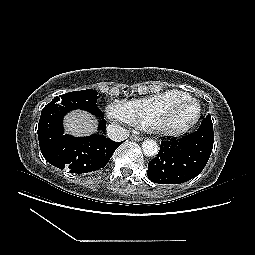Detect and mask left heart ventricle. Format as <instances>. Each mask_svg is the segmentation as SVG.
I'll return each mask as SVG.
<instances>
[{
    "mask_svg": "<svg viewBox=\"0 0 255 255\" xmlns=\"http://www.w3.org/2000/svg\"><path fill=\"white\" fill-rule=\"evenodd\" d=\"M194 113L190 105L177 104L165 116V120L170 125H180L187 122Z\"/></svg>",
    "mask_w": 255,
    "mask_h": 255,
    "instance_id": "b2bd125f",
    "label": "left heart ventricle"
}]
</instances>
